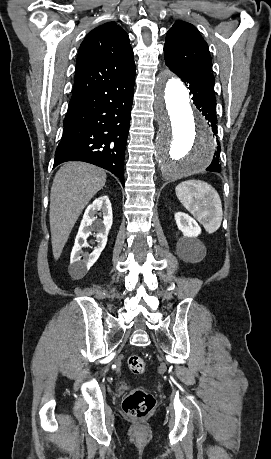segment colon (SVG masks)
<instances>
[{
  "label": "colon",
  "instance_id": "1",
  "mask_svg": "<svg viewBox=\"0 0 271 459\" xmlns=\"http://www.w3.org/2000/svg\"><path fill=\"white\" fill-rule=\"evenodd\" d=\"M129 370L136 375L143 374L146 368L144 360L139 355H131L127 360ZM154 396L142 388L131 390L123 400L122 410L130 418H144L155 408Z\"/></svg>",
  "mask_w": 271,
  "mask_h": 459
}]
</instances>
